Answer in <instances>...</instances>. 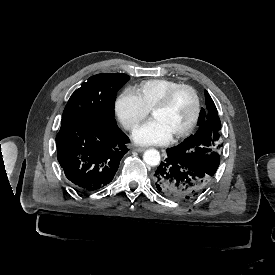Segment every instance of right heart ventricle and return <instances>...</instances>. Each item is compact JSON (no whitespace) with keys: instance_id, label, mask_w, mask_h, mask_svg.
<instances>
[{"instance_id":"e07e8e85","label":"right heart ventricle","mask_w":275,"mask_h":275,"mask_svg":"<svg viewBox=\"0 0 275 275\" xmlns=\"http://www.w3.org/2000/svg\"><path fill=\"white\" fill-rule=\"evenodd\" d=\"M176 84L177 82L165 78L148 79L136 85L134 92L143 105L150 111L164 93Z\"/></svg>"}]
</instances>
